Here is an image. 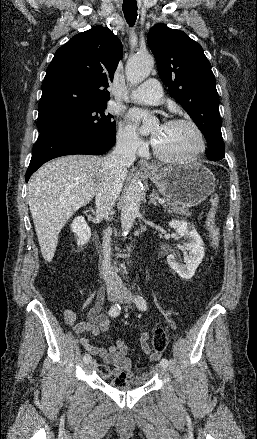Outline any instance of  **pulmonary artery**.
Masks as SVG:
<instances>
[{"label": "pulmonary artery", "mask_w": 257, "mask_h": 439, "mask_svg": "<svg viewBox=\"0 0 257 439\" xmlns=\"http://www.w3.org/2000/svg\"><path fill=\"white\" fill-rule=\"evenodd\" d=\"M128 101L158 105L163 100V92L156 79H149L132 90L126 98Z\"/></svg>", "instance_id": "1"}]
</instances>
